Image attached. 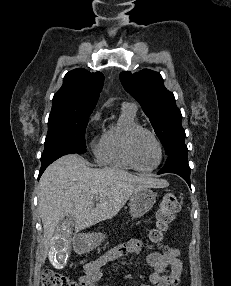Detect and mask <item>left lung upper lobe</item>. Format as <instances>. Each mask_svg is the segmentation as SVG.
I'll return each instance as SVG.
<instances>
[{"instance_id":"obj_1","label":"left lung upper lobe","mask_w":231,"mask_h":286,"mask_svg":"<svg viewBox=\"0 0 231 286\" xmlns=\"http://www.w3.org/2000/svg\"><path fill=\"white\" fill-rule=\"evenodd\" d=\"M120 80L149 117L167 155L175 146L185 143L181 112L175 104L173 93L164 87L158 72L148 69L135 74L122 72Z\"/></svg>"}]
</instances>
